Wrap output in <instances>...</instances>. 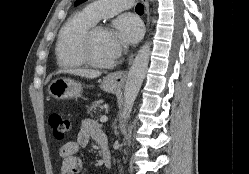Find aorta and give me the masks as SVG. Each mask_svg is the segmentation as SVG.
<instances>
[{
    "label": "aorta",
    "instance_id": "1",
    "mask_svg": "<svg viewBox=\"0 0 249 174\" xmlns=\"http://www.w3.org/2000/svg\"><path fill=\"white\" fill-rule=\"evenodd\" d=\"M149 58L150 43L146 42L137 52L133 64L128 72V77L124 88V118H128L130 116L134 102L137 98L148 68Z\"/></svg>",
    "mask_w": 249,
    "mask_h": 174
}]
</instances>
